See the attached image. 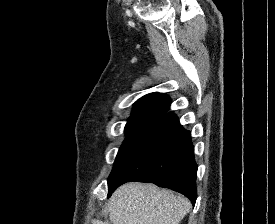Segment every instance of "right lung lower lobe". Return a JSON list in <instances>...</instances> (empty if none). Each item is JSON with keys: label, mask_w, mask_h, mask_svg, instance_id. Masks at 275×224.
I'll return each mask as SVG.
<instances>
[{"label": "right lung lower lobe", "mask_w": 275, "mask_h": 224, "mask_svg": "<svg viewBox=\"0 0 275 224\" xmlns=\"http://www.w3.org/2000/svg\"><path fill=\"white\" fill-rule=\"evenodd\" d=\"M196 174L191 133L170 112L163 116L121 169L108 180V197L126 182H150L185 195L194 205L197 198Z\"/></svg>", "instance_id": "obj_1"}]
</instances>
